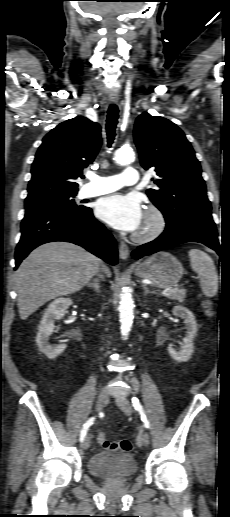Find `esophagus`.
<instances>
[{
    "mask_svg": "<svg viewBox=\"0 0 230 517\" xmlns=\"http://www.w3.org/2000/svg\"><path fill=\"white\" fill-rule=\"evenodd\" d=\"M109 101L111 103H113V104L118 103V101H119L118 95L110 96ZM129 254H130V251H129V247L127 246V244L124 241H120V244H119V256H120V258L122 260H126L129 257Z\"/></svg>",
    "mask_w": 230,
    "mask_h": 517,
    "instance_id": "esophagus-1",
    "label": "esophagus"
}]
</instances>
